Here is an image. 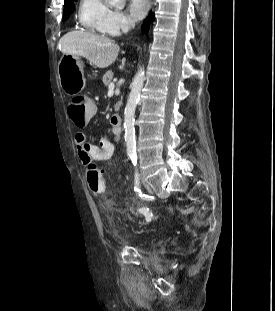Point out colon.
Listing matches in <instances>:
<instances>
[{
  "label": "colon",
  "mask_w": 275,
  "mask_h": 311,
  "mask_svg": "<svg viewBox=\"0 0 275 311\" xmlns=\"http://www.w3.org/2000/svg\"><path fill=\"white\" fill-rule=\"evenodd\" d=\"M97 102L93 97H74L69 101L68 110L74 120V129H87L92 117L97 116ZM87 182L93 193L99 194L105 190V182L102 172L95 164L87 166Z\"/></svg>",
  "instance_id": "colon-1"
}]
</instances>
